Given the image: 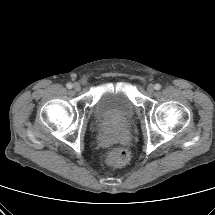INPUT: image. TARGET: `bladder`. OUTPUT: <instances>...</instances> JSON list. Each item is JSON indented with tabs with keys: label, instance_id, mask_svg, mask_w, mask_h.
Segmentation results:
<instances>
[{
	"label": "bladder",
	"instance_id": "1",
	"mask_svg": "<svg viewBox=\"0 0 215 215\" xmlns=\"http://www.w3.org/2000/svg\"><path fill=\"white\" fill-rule=\"evenodd\" d=\"M134 104L126 92L112 88L103 90L94 104V117L100 122L122 124L134 115Z\"/></svg>",
	"mask_w": 215,
	"mask_h": 215
}]
</instances>
